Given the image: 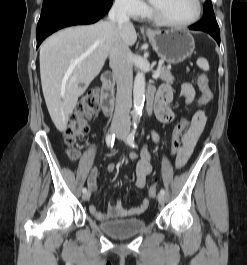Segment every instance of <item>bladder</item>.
<instances>
[{
	"label": "bladder",
	"mask_w": 247,
	"mask_h": 265,
	"mask_svg": "<svg viewBox=\"0 0 247 265\" xmlns=\"http://www.w3.org/2000/svg\"><path fill=\"white\" fill-rule=\"evenodd\" d=\"M99 228L112 238L123 240L141 233L146 228V222L138 218L102 221Z\"/></svg>",
	"instance_id": "1"
}]
</instances>
